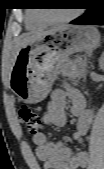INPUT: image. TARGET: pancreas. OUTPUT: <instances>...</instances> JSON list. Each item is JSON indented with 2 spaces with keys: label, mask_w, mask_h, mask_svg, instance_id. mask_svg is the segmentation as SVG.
I'll use <instances>...</instances> for the list:
<instances>
[{
  "label": "pancreas",
  "mask_w": 104,
  "mask_h": 169,
  "mask_svg": "<svg viewBox=\"0 0 104 169\" xmlns=\"http://www.w3.org/2000/svg\"><path fill=\"white\" fill-rule=\"evenodd\" d=\"M63 66L65 67L63 74L70 80L84 76L86 73V61L79 57L75 60H67Z\"/></svg>",
  "instance_id": "1"
}]
</instances>
